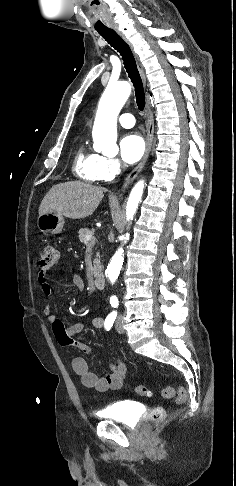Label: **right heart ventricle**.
<instances>
[{
    "mask_svg": "<svg viewBox=\"0 0 236 486\" xmlns=\"http://www.w3.org/2000/svg\"><path fill=\"white\" fill-rule=\"evenodd\" d=\"M98 156V154L89 152L84 145H80L73 159L74 173L84 181H97L96 164Z\"/></svg>",
    "mask_w": 236,
    "mask_h": 486,
    "instance_id": "right-heart-ventricle-1",
    "label": "right heart ventricle"
}]
</instances>
